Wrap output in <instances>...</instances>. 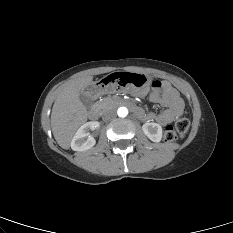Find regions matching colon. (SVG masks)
Here are the masks:
<instances>
[{
	"mask_svg": "<svg viewBox=\"0 0 233 233\" xmlns=\"http://www.w3.org/2000/svg\"><path fill=\"white\" fill-rule=\"evenodd\" d=\"M152 86L161 88L163 83L159 80H154ZM190 122L186 118L178 119L174 124L168 125L164 131V139L168 142L176 141L178 138L184 136L189 130Z\"/></svg>",
	"mask_w": 233,
	"mask_h": 233,
	"instance_id": "1",
	"label": "colon"
}]
</instances>
